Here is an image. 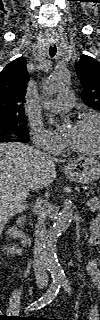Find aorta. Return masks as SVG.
Returning <instances> with one entry per match:
<instances>
[{"label": "aorta", "mask_w": 100, "mask_h": 320, "mask_svg": "<svg viewBox=\"0 0 100 320\" xmlns=\"http://www.w3.org/2000/svg\"><path fill=\"white\" fill-rule=\"evenodd\" d=\"M70 75L66 69H57L53 71L45 82V91L47 94L55 93L59 88L66 85ZM65 122L56 118L55 125L62 126ZM73 218V208L71 203H65L59 214L58 219L48 232L44 242V259L46 267L54 280H64L65 273L57 258V241L60 235L68 229Z\"/></svg>", "instance_id": "aorta-1"}]
</instances>
